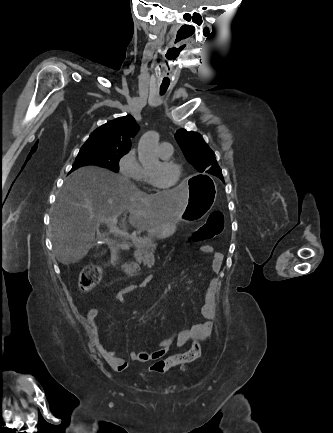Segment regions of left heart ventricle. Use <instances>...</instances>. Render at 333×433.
Listing matches in <instances>:
<instances>
[{"label": "left heart ventricle", "mask_w": 333, "mask_h": 433, "mask_svg": "<svg viewBox=\"0 0 333 433\" xmlns=\"http://www.w3.org/2000/svg\"><path fill=\"white\" fill-rule=\"evenodd\" d=\"M148 170L153 174L158 184L167 188L171 187L177 178V171L172 167L163 165L161 161L148 166Z\"/></svg>", "instance_id": "1"}]
</instances>
